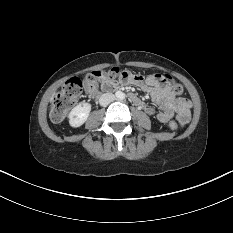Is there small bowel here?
Returning <instances> with one entry per match:
<instances>
[{
  "label": "small bowel",
  "instance_id": "small-bowel-1",
  "mask_svg": "<svg viewBox=\"0 0 233 233\" xmlns=\"http://www.w3.org/2000/svg\"><path fill=\"white\" fill-rule=\"evenodd\" d=\"M116 80L123 85L134 84L149 92L154 102L161 108V111L158 112L154 107L145 106L141 101L139 106L148 115L155 116L159 122L167 123L175 115L179 124L185 125L189 122L191 102L186 98L175 97L169 82L161 80L159 75L145 79L141 73L132 75L128 71H122L116 75Z\"/></svg>",
  "mask_w": 233,
  "mask_h": 233
}]
</instances>
